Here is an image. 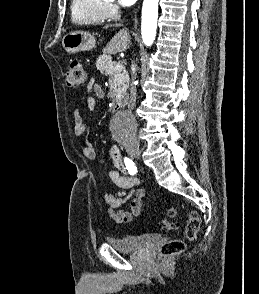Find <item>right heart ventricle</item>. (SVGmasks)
I'll list each match as a JSON object with an SVG mask.
<instances>
[{"mask_svg":"<svg viewBox=\"0 0 259 294\" xmlns=\"http://www.w3.org/2000/svg\"><path fill=\"white\" fill-rule=\"evenodd\" d=\"M71 16L74 23L99 24L108 18L105 0H72Z\"/></svg>","mask_w":259,"mask_h":294,"instance_id":"right-heart-ventricle-1","label":"right heart ventricle"}]
</instances>
